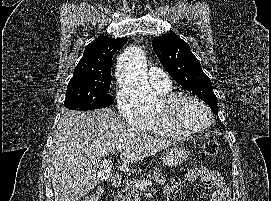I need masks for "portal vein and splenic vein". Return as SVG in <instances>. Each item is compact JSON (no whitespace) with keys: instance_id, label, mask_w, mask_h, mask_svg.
Masks as SVG:
<instances>
[{"instance_id":"obj_1","label":"portal vein and splenic vein","mask_w":271,"mask_h":201,"mask_svg":"<svg viewBox=\"0 0 271 201\" xmlns=\"http://www.w3.org/2000/svg\"><path fill=\"white\" fill-rule=\"evenodd\" d=\"M123 149V146H118L117 151L121 152ZM152 181H136L135 186L141 190L146 189L147 186L151 185Z\"/></svg>"}]
</instances>
